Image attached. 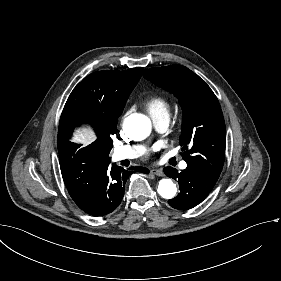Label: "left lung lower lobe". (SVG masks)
Listing matches in <instances>:
<instances>
[{
    "label": "left lung lower lobe",
    "instance_id": "0a47b994",
    "mask_svg": "<svg viewBox=\"0 0 281 281\" xmlns=\"http://www.w3.org/2000/svg\"><path fill=\"white\" fill-rule=\"evenodd\" d=\"M164 173L168 177L178 179L180 193L168 200V203L179 210L191 209L201 203L218 180L191 165H187V168L180 173L172 167H165Z\"/></svg>",
    "mask_w": 281,
    "mask_h": 281
}]
</instances>
